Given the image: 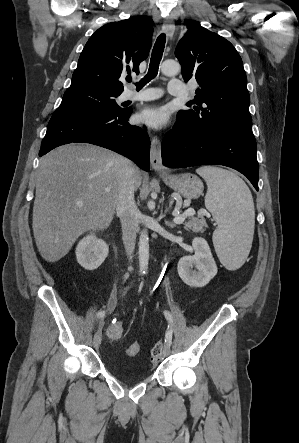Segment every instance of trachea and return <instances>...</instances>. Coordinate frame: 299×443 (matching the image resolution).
Segmentation results:
<instances>
[{
  "label": "trachea",
  "instance_id": "1",
  "mask_svg": "<svg viewBox=\"0 0 299 443\" xmlns=\"http://www.w3.org/2000/svg\"><path fill=\"white\" fill-rule=\"evenodd\" d=\"M165 42H166V35L164 33L160 34L154 44L148 73L145 75L143 79L140 80V82L136 83L137 90H140L144 85H146L148 82H150L152 79H154L158 74L159 64L162 59V55L165 48ZM128 82H131L132 79L128 78Z\"/></svg>",
  "mask_w": 299,
  "mask_h": 443
}]
</instances>
